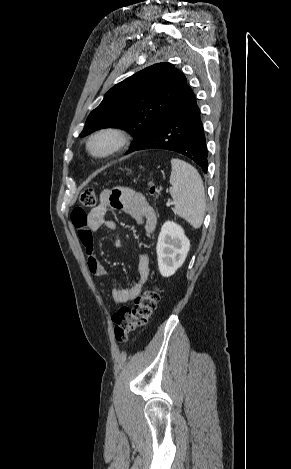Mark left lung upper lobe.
Returning <instances> with one entry per match:
<instances>
[{"label": "left lung upper lobe", "mask_w": 291, "mask_h": 469, "mask_svg": "<svg viewBox=\"0 0 291 469\" xmlns=\"http://www.w3.org/2000/svg\"><path fill=\"white\" fill-rule=\"evenodd\" d=\"M184 74L171 63L147 67L111 88L86 120L79 136L108 127L128 130L140 145L188 90ZM128 151V152H129Z\"/></svg>", "instance_id": "5c2ea615"}]
</instances>
